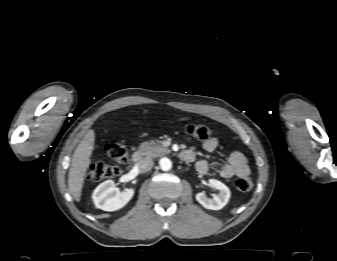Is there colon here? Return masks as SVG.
<instances>
[{
  "instance_id": "1",
  "label": "colon",
  "mask_w": 337,
  "mask_h": 261,
  "mask_svg": "<svg viewBox=\"0 0 337 261\" xmlns=\"http://www.w3.org/2000/svg\"><path fill=\"white\" fill-rule=\"evenodd\" d=\"M184 131L190 136L206 141L213 138L211 129L204 125L187 124ZM108 157L117 165H108L103 162L92 163L87 172V177L91 181H101L117 176L121 172L120 165L128 160V149L123 143H109L105 147ZM253 187V181L249 177H240L235 181V188L241 192L250 191Z\"/></svg>"
}]
</instances>
